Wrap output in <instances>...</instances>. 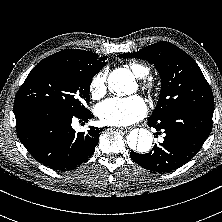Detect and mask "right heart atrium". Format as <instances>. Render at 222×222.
Here are the masks:
<instances>
[{"label":"right heart atrium","instance_id":"d8ad5b80","mask_svg":"<svg viewBox=\"0 0 222 222\" xmlns=\"http://www.w3.org/2000/svg\"><path fill=\"white\" fill-rule=\"evenodd\" d=\"M106 81L107 73L105 71H101L93 77L90 83V92L93 98L98 99L104 96L107 89Z\"/></svg>","mask_w":222,"mask_h":222}]
</instances>
